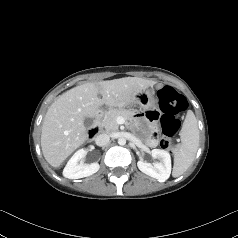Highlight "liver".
<instances>
[{
	"instance_id": "6515ba94",
	"label": "liver",
	"mask_w": 238,
	"mask_h": 238,
	"mask_svg": "<svg viewBox=\"0 0 238 238\" xmlns=\"http://www.w3.org/2000/svg\"><path fill=\"white\" fill-rule=\"evenodd\" d=\"M155 84L148 79L125 77L85 83L58 96L48 108L42 124L41 148L46 161L59 167L79 148L88 138L84 119L97 116L102 105L127 106L143 89Z\"/></svg>"
}]
</instances>
